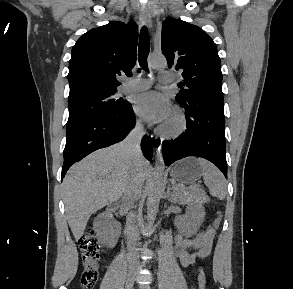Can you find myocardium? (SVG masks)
I'll return each instance as SVG.
<instances>
[{
	"label": "myocardium",
	"mask_w": 293,
	"mask_h": 289,
	"mask_svg": "<svg viewBox=\"0 0 293 289\" xmlns=\"http://www.w3.org/2000/svg\"><path fill=\"white\" fill-rule=\"evenodd\" d=\"M171 118L174 119L175 123L171 126L166 123L163 124L159 128V134L167 138H177L187 129V118L185 113L180 109L174 110Z\"/></svg>",
	"instance_id": "f54148a6"
}]
</instances>
